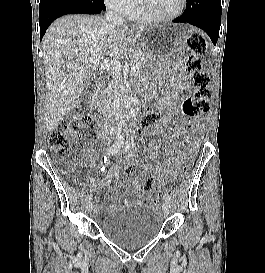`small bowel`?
I'll return each instance as SVG.
<instances>
[{"label": "small bowel", "instance_id": "small-bowel-1", "mask_svg": "<svg viewBox=\"0 0 265 273\" xmlns=\"http://www.w3.org/2000/svg\"><path fill=\"white\" fill-rule=\"evenodd\" d=\"M188 80H189L188 75L186 73L182 72L181 70H179L178 78L176 80V85L180 88H189L190 85L188 83ZM175 101H176L175 95L169 96V97L165 98L163 100L162 104L160 105L159 113L154 110L148 111V112H155L158 116H161L160 122L152 129L153 133H163L165 131L168 121L171 117L170 110L174 109ZM176 127H178V126H176ZM168 152L170 154H172L173 150L168 149ZM80 154L82 157H84L85 159H87L90 162L92 167H94L96 169L100 168L101 162L99 159L92 156L91 154H89L85 150L80 151ZM121 171H122V168L119 164H113L109 168V176L112 178L118 177L121 174ZM131 181H132L133 193L135 194L136 198L139 200L145 199V195L142 192L143 174H134L132 176ZM101 182H102V184H106L108 182V180L106 178H104V179H102ZM100 201H101V199L99 196L94 197V203H95L96 210H98V207L100 205ZM118 202L120 204H126L128 202V199L126 197L121 196L118 198ZM113 208H114L113 206H110L109 210L112 211Z\"/></svg>", "mask_w": 265, "mask_h": 273}]
</instances>
